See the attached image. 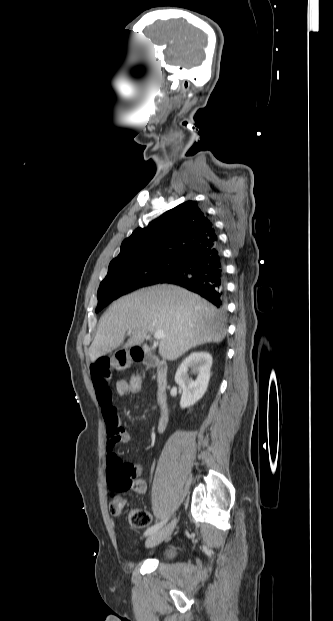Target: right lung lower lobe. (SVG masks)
<instances>
[{
    "label": "right lung lower lobe",
    "instance_id": "obj_1",
    "mask_svg": "<svg viewBox=\"0 0 333 621\" xmlns=\"http://www.w3.org/2000/svg\"><path fill=\"white\" fill-rule=\"evenodd\" d=\"M176 273L160 283L182 286L223 309L226 300V273L218 241L184 256Z\"/></svg>",
    "mask_w": 333,
    "mask_h": 621
}]
</instances>
